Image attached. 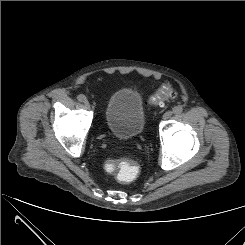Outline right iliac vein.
Here are the masks:
<instances>
[{
    "instance_id": "obj_1",
    "label": "right iliac vein",
    "mask_w": 245,
    "mask_h": 245,
    "mask_svg": "<svg viewBox=\"0 0 245 245\" xmlns=\"http://www.w3.org/2000/svg\"><path fill=\"white\" fill-rule=\"evenodd\" d=\"M84 104H85V106H86L87 108L90 107V104H89V102H88L87 100L84 101Z\"/></svg>"
}]
</instances>
